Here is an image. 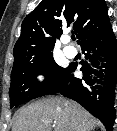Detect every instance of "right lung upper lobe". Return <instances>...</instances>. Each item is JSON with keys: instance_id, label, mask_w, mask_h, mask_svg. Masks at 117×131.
<instances>
[{"instance_id": "right-lung-upper-lobe-1", "label": "right lung upper lobe", "mask_w": 117, "mask_h": 131, "mask_svg": "<svg viewBox=\"0 0 117 131\" xmlns=\"http://www.w3.org/2000/svg\"><path fill=\"white\" fill-rule=\"evenodd\" d=\"M110 26L104 0H42L22 22L14 46L13 68L37 62L52 54L56 39L71 28L78 44Z\"/></svg>"}]
</instances>
